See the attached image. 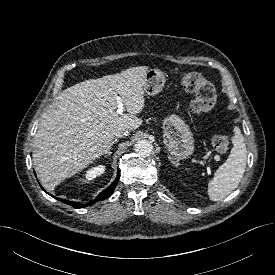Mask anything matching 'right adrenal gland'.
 Here are the masks:
<instances>
[{
	"instance_id": "1",
	"label": "right adrenal gland",
	"mask_w": 275,
	"mask_h": 275,
	"mask_svg": "<svg viewBox=\"0 0 275 275\" xmlns=\"http://www.w3.org/2000/svg\"><path fill=\"white\" fill-rule=\"evenodd\" d=\"M116 142H118V139H115L114 141H112L111 144L109 145L108 149L105 150V152L102 154V155H104L105 158H107L108 156L111 155L112 152H111L110 150L112 149V146H113Z\"/></svg>"
}]
</instances>
